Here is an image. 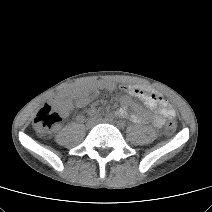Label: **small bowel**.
I'll return each mask as SVG.
<instances>
[{"instance_id":"1","label":"small bowel","mask_w":212,"mask_h":212,"mask_svg":"<svg viewBox=\"0 0 212 212\" xmlns=\"http://www.w3.org/2000/svg\"><path fill=\"white\" fill-rule=\"evenodd\" d=\"M116 84L110 80H98L95 82L79 84L54 101L56 108L63 117H67L74 106L85 107L93 101L100 90L113 91ZM123 95L120 97V106L115 114L118 117H126L128 108L133 105L132 98L141 100L147 107L159 109V115L152 118L156 127H162L167 119H173L176 115L174 108L159 93L152 89L137 85H122ZM82 117H79L81 119ZM132 121L136 123H146L151 117L140 107L135 106V111L131 115Z\"/></svg>"}]
</instances>
